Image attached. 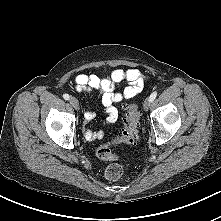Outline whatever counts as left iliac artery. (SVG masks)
<instances>
[{
    "label": "left iliac artery",
    "mask_w": 221,
    "mask_h": 221,
    "mask_svg": "<svg viewBox=\"0 0 221 221\" xmlns=\"http://www.w3.org/2000/svg\"><path fill=\"white\" fill-rule=\"evenodd\" d=\"M156 96H157V92L154 91V92L150 95V97H149L150 101H151V102L154 101V99L156 98Z\"/></svg>",
    "instance_id": "44dca946"
}]
</instances>
